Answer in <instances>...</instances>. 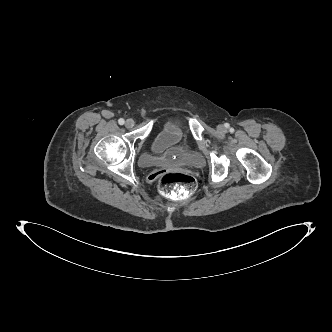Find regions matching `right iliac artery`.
I'll use <instances>...</instances> for the list:
<instances>
[{
	"label": "right iliac artery",
	"mask_w": 332,
	"mask_h": 332,
	"mask_svg": "<svg viewBox=\"0 0 332 332\" xmlns=\"http://www.w3.org/2000/svg\"><path fill=\"white\" fill-rule=\"evenodd\" d=\"M118 122H119L120 125H123V124L125 123V121H124L123 118H120V119L118 120Z\"/></svg>",
	"instance_id": "82829eb1"
}]
</instances>
